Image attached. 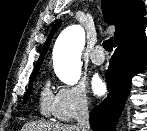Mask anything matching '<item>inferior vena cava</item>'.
Returning a JSON list of instances; mask_svg holds the SVG:
<instances>
[{
  "mask_svg": "<svg viewBox=\"0 0 147 131\" xmlns=\"http://www.w3.org/2000/svg\"><path fill=\"white\" fill-rule=\"evenodd\" d=\"M77 128L80 131H90L89 111L86 101H82L77 109Z\"/></svg>",
  "mask_w": 147,
  "mask_h": 131,
  "instance_id": "1",
  "label": "inferior vena cava"
}]
</instances>
